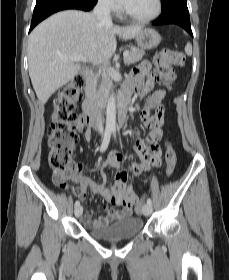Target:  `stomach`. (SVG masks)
Masks as SVG:
<instances>
[{
    "instance_id": "0dacf381",
    "label": "stomach",
    "mask_w": 229,
    "mask_h": 280,
    "mask_svg": "<svg viewBox=\"0 0 229 280\" xmlns=\"http://www.w3.org/2000/svg\"><path fill=\"white\" fill-rule=\"evenodd\" d=\"M136 41L142 49H153L161 42V36L156 30L146 28L137 34Z\"/></svg>"
}]
</instances>
